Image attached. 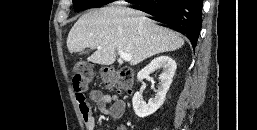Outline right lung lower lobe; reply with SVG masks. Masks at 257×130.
<instances>
[{"label":"right lung lower lobe","mask_w":257,"mask_h":130,"mask_svg":"<svg viewBox=\"0 0 257 130\" xmlns=\"http://www.w3.org/2000/svg\"><path fill=\"white\" fill-rule=\"evenodd\" d=\"M203 0H165L143 5L139 9L173 30H176L190 40L195 48L202 25Z\"/></svg>","instance_id":"right-lung-lower-lobe-1"}]
</instances>
